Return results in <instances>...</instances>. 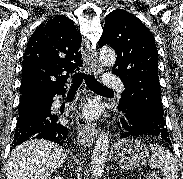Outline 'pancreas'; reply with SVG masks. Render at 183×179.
<instances>
[{"mask_svg":"<svg viewBox=\"0 0 183 179\" xmlns=\"http://www.w3.org/2000/svg\"><path fill=\"white\" fill-rule=\"evenodd\" d=\"M147 179H160V177H158L157 175H154V176L147 177Z\"/></svg>","mask_w":183,"mask_h":179,"instance_id":"cf45deb5","label":"pancreas"}]
</instances>
